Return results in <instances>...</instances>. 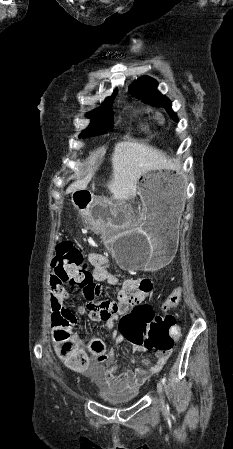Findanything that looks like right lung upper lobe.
<instances>
[{
    "instance_id": "obj_1",
    "label": "right lung upper lobe",
    "mask_w": 233,
    "mask_h": 449,
    "mask_svg": "<svg viewBox=\"0 0 233 449\" xmlns=\"http://www.w3.org/2000/svg\"><path fill=\"white\" fill-rule=\"evenodd\" d=\"M116 93H117V89L114 90L113 94H116ZM113 94H112V95H113Z\"/></svg>"
}]
</instances>
